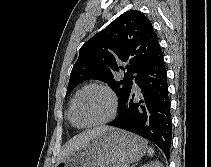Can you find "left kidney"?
Listing matches in <instances>:
<instances>
[{"label": "left kidney", "instance_id": "left-kidney-1", "mask_svg": "<svg viewBox=\"0 0 211 167\" xmlns=\"http://www.w3.org/2000/svg\"><path fill=\"white\" fill-rule=\"evenodd\" d=\"M142 167H163V165L161 163L156 162V163L144 165Z\"/></svg>", "mask_w": 211, "mask_h": 167}]
</instances>
